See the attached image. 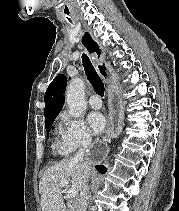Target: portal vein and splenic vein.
<instances>
[{"mask_svg":"<svg viewBox=\"0 0 179 211\" xmlns=\"http://www.w3.org/2000/svg\"><path fill=\"white\" fill-rule=\"evenodd\" d=\"M59 184L61 186H64V187H68L69 186V183L66 180H61L59 182ZM77 194H78L77 190H75V189H68L66 197L67 198H76Z\"/></svg>","mask_w":179,"mask_h":211,"instance_id":"portal-vein-and-splenic-vein-1","label":"portal vein and splenic vein"}]
</instances>
